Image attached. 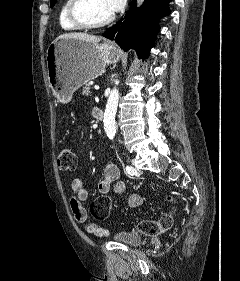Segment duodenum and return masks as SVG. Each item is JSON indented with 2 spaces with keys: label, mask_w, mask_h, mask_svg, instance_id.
<instances>
[{
  "label": "duodenum",
  "mask_w": 240,
  "mask_h": 281,
  "mask_svg": "<svg viewBox=\"0 0 240 281\" xmlns=\"http://www.w3.org/2000/svg\"><path fill=\"white\" fill-rule=\"evenodd\" d=\"M93 116L97 119V120H103L104 118V113L101 109L96 108L93 110Z\"/></svg>",
  "instance_id": "410a0bca"
}]
</instances>
